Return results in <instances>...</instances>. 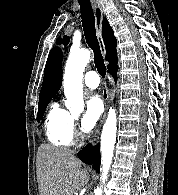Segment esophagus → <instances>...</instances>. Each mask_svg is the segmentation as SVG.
<instances>
[{"label":"esophagus","mask_w":178,"mask_h":195,"mask_svg":"<svg viewBox=\"0 0 178 195\" xmlns=\"http://www.w3.org/2000/svg\"><path fill=\"white\" fill-rule=\"evenodd\" d=\"M94 14H95V21H96V32H97V38L99 41L100 49L103 54V56L106 54L105 44L102 38V21H103V10L99 3H94ZM114 97V90L111 88L109 90L103 91V100H104V113L97 125L95 134L93 136L92 144H96L100 137L101 127L102 124L106 118V114L108 111L109 106L111 105Z\"/></svg>","instance_id":"obj_1"}]
</instances>
